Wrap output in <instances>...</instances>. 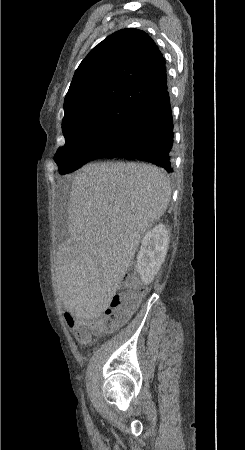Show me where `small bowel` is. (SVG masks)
<instances>
[{
  "label": "small bowel",
  "mask_w": 245,
  "mask_h": 450,
  "mask_svg": "<svg viewBox=\"0 0 245 450\" xmlns=\"http://www.w3.org/2000/svg\"><path fill=\"white\" fill-rule=\"evenodd\" d=\"M78 282L76 280H72L71 281V287L75 288L77 287ZM64 320L67 323L68 327L71 329L73 335L75 336V338L82 342V343H88L91 340V336L88 335L87 338H82L79 333L76 331L75 329V325L81 321H83V319L76 313L74 305L72 300L68 299L65 302V306H64Z\"/></svg>",
  "instance_id": "1"
}]
</instances>
